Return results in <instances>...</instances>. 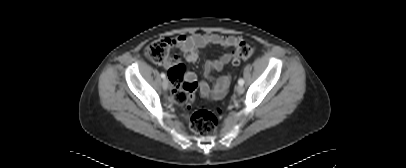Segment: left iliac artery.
<instances>
[{
    "instance_id": "44dca946",
    "label": "left iliac artery",
    "mask_w": 406,
    "mask_h": 168,
    "mask_svg": "<svg viewBox=\"0 0 406 168\" xmlns=\"http://www.w3.org/2000/svg\"><path fill=\"white\" fill-rule=\"evenodd\" d=\"M238 83H239V85H244V80H243L242 78H240V79L238 80Z\"/></svg>"
}]
</instances>
